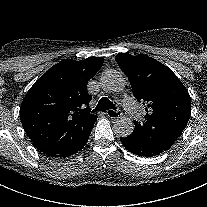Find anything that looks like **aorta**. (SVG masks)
Masks as SVG:
<instances>
[{
	"mask_svg": "<svg viewBox=\"0 0 207 207\" xmlns=\"http://www.w3.org/2000/svg\"><path fill=\"white\" fill-rule=\"evenodd\" d=\"M100 84L105 92H121L125 87L123 75L115 69H107L100 76ZM114 131L121 137L131 135L134 130L133 122L126 116L117 117L113 124Z\"/></svg>",
	"mask_w": 207,
	"mask_h": 207,
	"instance_id": "762f6f07",
	"label": "aorta"
}]
</instances>
